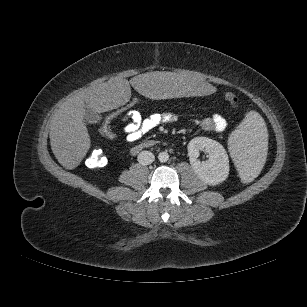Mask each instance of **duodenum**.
Returning a JSON list of instances; mask_svg holds the SVG:
<instances>
[{
	"instance_id": "410a0bca",
	"label": "duodenum",
	"mask_w": 307,
	"mask_h": 307,
	"mask_svg": "<svg viewBox=\"0 0 307 307\" xmlns=\"http://www.w3.org/2000/svg\"><path fill=\"white\" fill-rule=\"evenodd\" d=\"M153 144L149 141H145V142H142V143H139L137 145H135L133 148H132V153L133 154H137L138 152H140L141 150L143 149H146V148H149L151 147Z\"/></svg>"
}]
</instances>
